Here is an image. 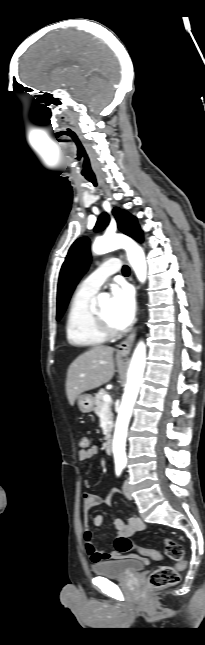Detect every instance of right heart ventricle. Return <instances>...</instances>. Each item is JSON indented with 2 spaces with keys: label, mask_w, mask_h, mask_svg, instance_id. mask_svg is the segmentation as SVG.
I'll list each match as a JSON object with an SVG mask.
<instances>
[{
  "label": "right heart ventricle",
  "mask_w": 205,
  "mask_h": 645,
  "mask_svg": "<svg viewBox=\"0 0 205 645\" xmlns=\"http://www.w3.org/2000/svg\"><path fill=\"white\" fill-rule=\"evenodd\" d=\"M94 295L77 290L71 299L66 318V337L71 345L94 347L107 339L93 320Z\"/></svg>",
  "instance_id": "1"
}]
</instances>
